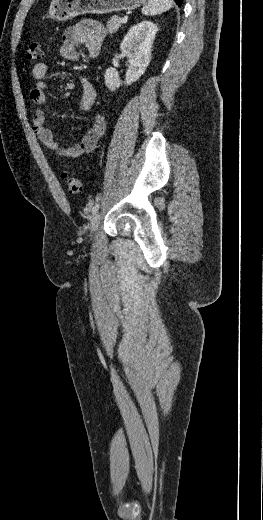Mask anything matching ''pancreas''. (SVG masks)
<instances>
[{"instance_id":"cf45deb5","label":"pancreas","mask_w":263,"mask_h":520,"mask_svg":"<svg viewBox=\"0 0 263 520\" xmlns=\"http://www.w3.org/2000/svg\"><path fill=\"white\" fill-rule=\"evenodd\" d=\"M120 19L121 18L118 16H112L109 18L107 22V31L109 33H114L121 27Z\"/></svg>"}]
</instances>
